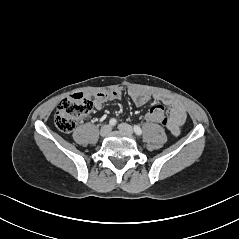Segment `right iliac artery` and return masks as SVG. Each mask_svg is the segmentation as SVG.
<instances>
[{"instance_id": "1", "label": "right iliac artery", "mask_w": 239, "mask_h": 239, "mask_svg": "<svg viewBox=\"0 0 239 239\" xmlns=\"http://www.w3.org/2000/svg\"><path fill=\"white\" fill-rule=\"evenodd\" d=\"M116 123H117V121H116V119H114V118L110 119V121H109V124H110L111 126L116 125Z\"/></svg>"}]
</instances>
